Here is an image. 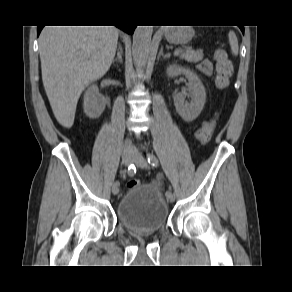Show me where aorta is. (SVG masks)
<instances>
[{"label": "aorta", "instance_id": "obj_1", "mask_svg": "<svg viewBox=\"0 0 292 292\" xmlns=\"http://www.w3.org/2000/svg\"><path fill=\"white\" fill-rule=\"evenodd\" d=\"M153 26H137L133 34L132 55L134 64L143 69L148 61L151 49Z\"/></svg>", "mask_w": 292, "mask_h": 292}]
</instances>
